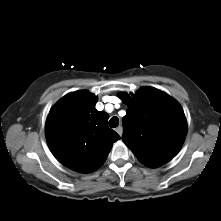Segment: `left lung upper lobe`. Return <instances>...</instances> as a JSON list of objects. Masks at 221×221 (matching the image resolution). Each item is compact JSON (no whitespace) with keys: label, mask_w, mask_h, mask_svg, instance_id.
Returning <instances> with one entry per match:
<instances>
[{"label":"left lung upper lobe","mask_w":221,"mask_h":221,"mask_svg":"<svg viewBox=\"0 0 221 221\" xmlns=\"http://www.w3.org/2000/svg\"><path fill=\"white\" fill-rule=\"evenodd\" d=\"M127 104L123 117V142L145 166L155 168L170 161L180 150L187 123L180 104L168 94L152 87L137 93H121Z\"/></svg>","instance_id":"obj_1"}]
</instances>
